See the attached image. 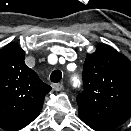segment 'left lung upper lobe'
Returning <instances> with one entry per match:
<instances>
[{
    "instance_id": "obj_1",
    "label": "left lung upper lobe",
    "mask_w": 131,
    "mask_h": 131,
    "mask_svg": "<svg viewBox=\"0 0 131 131\" xmlns=\"http://www.w3.org/2000/svg\"><path fill=\"white\" fill-rule=\"evenodd\" d=\"M84 90L78 95L80 119L95 131H112L131 116V62L100 43L87 54L83 67Z\"/></svg>"
}]
</instances>
